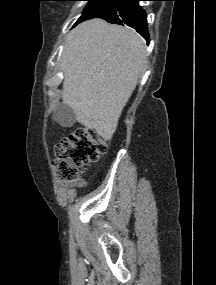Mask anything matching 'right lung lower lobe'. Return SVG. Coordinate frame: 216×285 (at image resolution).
Returning a JSON list of instances; mask_svg holds the SVG:
<instances>
[{
  "instance_id": "98d812e1",
  "label": "right lung lower lobe",
  "mask_w": 216,
  "mask_h": 285,
  "mask_svg": "<svg viewBox=\"0 0 216 285\" xmlns=\"http://www.w3.org/2000/svg\"><path fill=\"white\" fill-rule=\"evenodd\" d=\"M139 1L141 0H119L114 6L93 18H102L114 24H126L148 39L146 13L138 5Z\"/></svg>"
}]
</instances>
